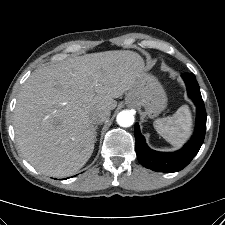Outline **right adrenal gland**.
Here are the masks:
<instances>
[{
    "mask_svg": "<svg viewBox=\"0 0 225 225\" xmlns=\"http://www.w3.org/2000/svg\"><path fill=\"white\" fill-rule=\"evenodd\" d=\"M94 129H95V142H96L97 141V138L96 137H97V129H98V126H95Z\"/></svg>",
    "mask_w": 225,
    "mask_h": 225,
    "instance_id": "right-adrenal-gland-1",
    "label": "right adrenal gland"
}]
</instances>
